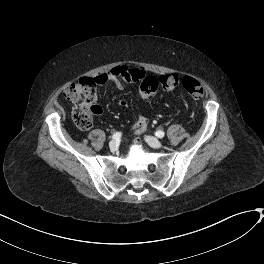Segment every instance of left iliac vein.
Returning <instances> with one entry per match:
<instances>
[{
    "instance_id": "left-iliac-vein-1",
    "label": "left iliac vein",
    "mask_w": 264,
    "mask_h": 264,
    "mask_svg": "<svg viewBox=\"0 0 264 264\" xmlns=\"http://www.w3.org/2000/svg\"><path fill=\"white\" fill-rule=\"evenodd\" d=\"M146 142L153 148H161L163 143L155 137L146 136Z\"/></svg>"
}]
</instances>
